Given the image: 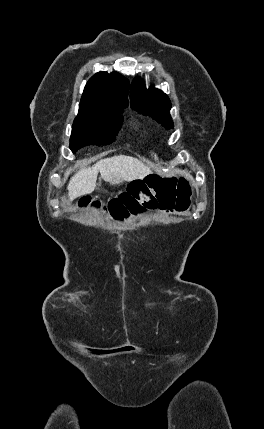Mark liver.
<instances>
[{
  "instance_id": "1",
  "label": "liver",
  "mask_w": 264,
  "mask_h": 429,
  "mask_svg": "<svg viewBox=\"0 0 264 429\" xmlns=\"http://www.w3.org/2000/svg\"><path fill=\"white\" fill-rule=\"evenodd\" d=\"M99 172L106 182L115 179L130 182L143 179L151 170L138 159L129 156L119 155L102 159L92 167H82L70 179L67 186L69 200L91 194L95 190Z\"/></svg>"
}]
</instances>
